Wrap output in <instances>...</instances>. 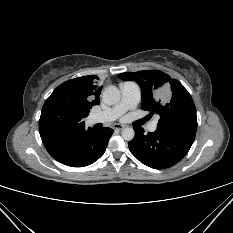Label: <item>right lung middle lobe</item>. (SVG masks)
I'll list each match as a JSON object with an SVG mask.
<instances>
[{
  "label": "right lung middle lobe",
  "instance_id": "obj_1",
  "mask_svg": "<svg viewBox=\"0 0 233 233\" xmlns=\"http://www.w3.org/2000/svg\"><path fill=\"white\" fill-rule=\"evenodd\" d=\"M92 106L88 102L58 86L46 100L40 120V134L69 132L84 127L85 118Z\"/></svg>",
  "mask_w": 233,
  "mask_h": 233
}]
</instances>
